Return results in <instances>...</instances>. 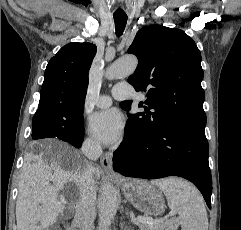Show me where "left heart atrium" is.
Returning <instances> with one entry per match:
<instances>
[{
	"label": "left heart atrium",
	"instance_id": "obj_1",
	"mask_svg": "<svg viewBox=\"0 0 241 230\" xmlns=\"http://www.w3.org/2000/svg\"><path fill=\"white\" fill-rule=\"evenodd\" d=\"M123 127L120 112L115 108H110L100 111L93 116L90 132L99 142L110 145L120 139Z\"/></svg>",
	"mask_w": 241,
	"mask_h": 230
}]
</instances>
